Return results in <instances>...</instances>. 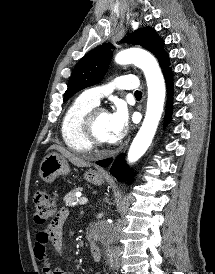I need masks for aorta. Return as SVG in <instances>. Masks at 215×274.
<instances>
[{"label": "aorta", "mask_w": 215, "mask_h": 274, "mask_svg": "<svg viewBox=\"0 0 215 274\" xmlns=\"http://www.w3.org/2000/svg\"><path fill=\"white\" fill-rule=\"evenodd\" d=\"M115 61L122 65L132 63L141 68L148 86L145 118L128 151V162L133 163L146 152L157 130L165 101V82L156 59L144 50H123L116 55Z\"/></svg>", "instance_id": "obj_1"}]
</instances>
